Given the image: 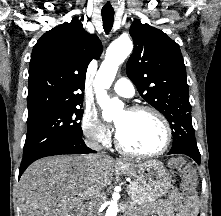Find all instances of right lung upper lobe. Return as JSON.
I'll return each instance as SVG.
<instances>
[{"instance_id":"obj_1","label":"right lung upper lobe","mask_w":221,"mask_h":216,"mask_svg":"<svg viewBox=\"0 0 221 216\" xmlns=\"http://www.w3.org/2000/svg\"><path fill=\"white\" fill-rule=\"evenodd\" d=\"M102 44L78 18L46 32L33 48L28 78V117L83 104L85 76Z\"/></svg>"}]
</instances>
